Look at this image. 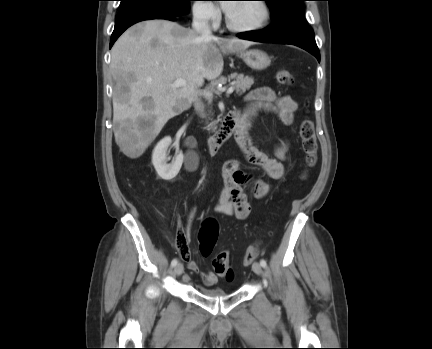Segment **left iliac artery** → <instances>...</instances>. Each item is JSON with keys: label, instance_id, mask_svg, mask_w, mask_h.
<instances>
[{"label": "left iliac artery", "instance_id": "obj_1", "mask_svg": "<svg viewBox=\"0 0 432 349\" xmlns=\"http://www.w3.org/2000/svg\"><path fill=\"white\" fill-rule=\"evenodd\" d=\"M260 264L264 268L267 266V263H266V261L264 259H261Z\"/></svg>", "mask_w": 432, "mask_h": 349}]
</instances>
